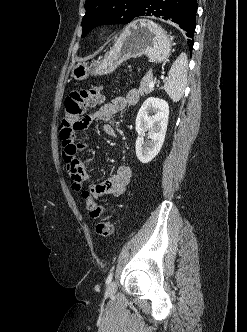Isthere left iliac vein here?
Returning a JSON list of instances; mask_svg holds the SVG:
<instances>
[{"mask_svg": "<svg viewBox=\"0 0 247 332\" xmlns=\"http://www.w3.org/2000/svg\"><path fill=\"white\" fill-rule=\"evenodd\" d=\"M116 288H117L116 283L114 281L110 282L108 287H107V293L109 295L114 294L116 292Z\"/></svg>", "mask_w": 247, "mask_h": 332, "instance_id": "1", "label": "left iliac vein"}]
</instances>
